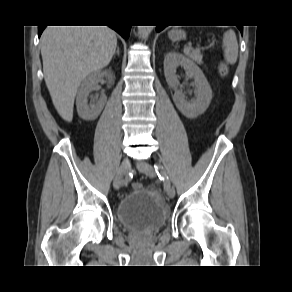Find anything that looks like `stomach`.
I'll return each mask as SVG.
<instances>
[{
	"label": "stomach",
	"instance_id": "0dacf381",
	"mask_svg": "<svg viewBox=\"0 0 292 292\" xmlns=\"http://www.w3.org/2000/svg\"><path fill=\"white\" fill-rule=\"evenodd\" d=\"M186 37L185 33L181 30H172L169 32V38L173 41H179Z\"/></svg>",
	"mask_w": 292,
	"mask_h": 292
}]
</instances>
